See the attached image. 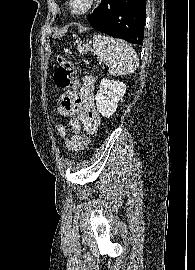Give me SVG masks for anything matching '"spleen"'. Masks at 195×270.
<instances>
[{"label":"spleen","mask_w":195,"mask_h":270,"mask_svg":"<svg viewBox=\"0 0 195 270\" xmlns=\"http://www.w3.org/2000/svg\"><path fill=\"white\" fill-rule=\"evenodd\" d=\"M93 48L97 59L108 65L110 75L122 76L133 73L139 65L136 51L119 39L94 35Z\"/></svg>","instance_id":"1"}]
</instances>
